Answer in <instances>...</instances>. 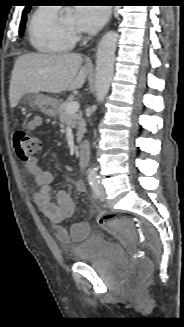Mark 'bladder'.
<instances>
[{"instance_id":"1","label":"bladder","mask_w":184,"mask_h":327,"mask_svg":"<svg viewBox=\"0 0 184 327\" xmlns=\"http://www.w3.org/2000/svg\"><path fill=\"white\" fill-rule=\"evenodd\" d=\"M68 250L74 255L77 262L93 264L108 255L118 261L121 268L128 266L124 255L101 233L87 234V238L83 242L68 246Z\"/></svg>"}]
</instances>
